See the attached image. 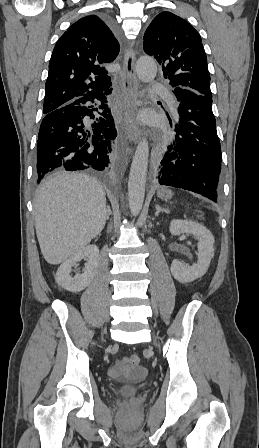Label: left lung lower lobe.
<instances>
[{
  "mask_svg": "<svg viewBox=\"0 0 259 448\" xmlns=\"http://www.w3.org/2000/svg\"><path fill=\"white\" fill-rule=\"evenodd\" d=\"M179 101L175 141L155 169L161 185L183 188L213 201L220 188L221 147L212 98L175 87Z\"/></svg>",
  "mask_w": 259,
  "mask_h": 448,
  "instance_id": "0a47b994",
  "label": "left lung lower lobe"
}]
</instances>
